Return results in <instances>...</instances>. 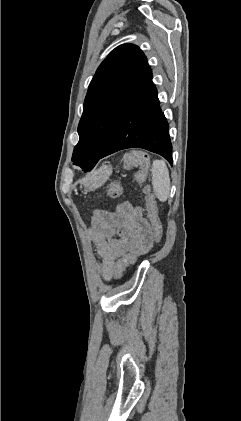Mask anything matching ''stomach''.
<instances>
[{
	"label": "stomach",
	"instance_id": "obj_1",
	"mask_svg": "<svg viewBox=\"0 0 241 421\" xmlns=\"http://www.w3.org/2000/svg\"><path fill=\"white\" fill-rule=\"evenodd\" d=\"M112 174V168L107 165L101 166L92 172L84 183L87 190H94L102 186Z\"/></svg>",
	"mask_w": 241,
	"mask_h": 421
}]
</instances>
